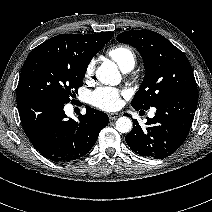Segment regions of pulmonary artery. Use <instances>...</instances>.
I'll use <instances>...</instances> for the list:
<instances>
[{"label":"pulmonary artery","mask_w":212,"mask_h":212,"mask_svg":"<svg viewBox=\"0 0 212 212\" xmlns=\"http://www.w3.org/2000/svg\"><path fill=\"white\" fill-rule=\"evenodd\" d=\"M131 70H132V67H130V68L124 70V72H128V71H131ZM149 116H150V117H153V116H154V111L150 112V113H149Z\"/></svg>","instance_id":"1"}]
</instances>
